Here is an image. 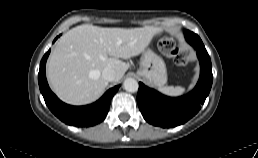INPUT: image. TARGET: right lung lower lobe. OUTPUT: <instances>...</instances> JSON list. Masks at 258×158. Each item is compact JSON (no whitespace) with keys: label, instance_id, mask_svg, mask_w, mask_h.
Instances as JSON below:
<instances>
[{"label":"right lung lower lobe","instance_id":"98d812e1","mask_svg":"<svg viewBox=\"0 0 258 158\" xmlns=\"http://www.w3.org/2000/svg\"><path fill=\"white\" fill-rule=\"evenodd\" d=\"M49 53L50 50L43 56L40 62L38 82L45 103L51 112L61 121L71 126L89 127L103 121L109 111L111 98L117 92L119 86L109 89L98 101L91 105H67L60 101L48 86L45 75V64Z\"/></svg>","mask_w":258,"mask_h":158}]
</instances>
